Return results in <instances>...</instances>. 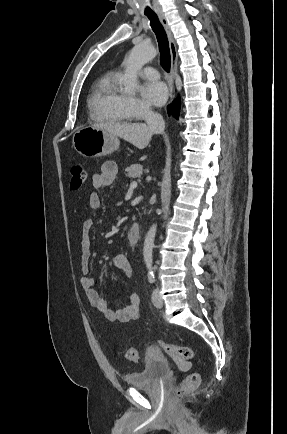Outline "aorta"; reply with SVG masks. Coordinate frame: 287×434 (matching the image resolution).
Wrapping results in <instances>:
<instances>
[{
  "mask_svg": "<svg viewBox=\"0 0 287 434\" xmlns=\"http://www.w3.org/2000/svg\"><path fill=\"white\" fill-rule=\"evenodd\" d=\"M156 54V49L151 45L137 44L132 48L129 57L124 62L125 71L122 78V83L125 92L131 93L137 88L138 71H140L146 63L151 61ZM156 230L157 225L153 224L146 234L143 247L144 262L150 273H152L153 270V248Z\"/></svg>",
  "mask_w": 287,
  "mask_h": 434,
  "instance_id": "obj_1",
  "label": "aorta"
}]
</instances>
